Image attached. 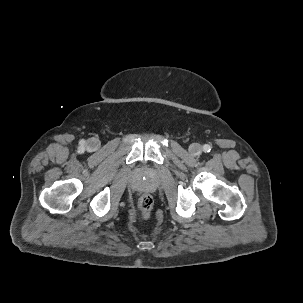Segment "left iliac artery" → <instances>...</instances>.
I'll return each instance as SVG.
<instances>
[{
  "label": "left iliac artery",
  "instance_id": "left-iliac-artery-1",
  "mask_svg": "<svg viewBox=\"0 0 303 303\" xmlns=\"http://www.w3.org/2000/svg\"><path fill=\"white\" fill-rule=\"evenodd\" d=\"M203 150H204V152H210L211 146L208 145V144H205V145L203 146Z\"/></svg>",
  "mask_w": 303,
  "mask_h": 303
}]
</instances>
